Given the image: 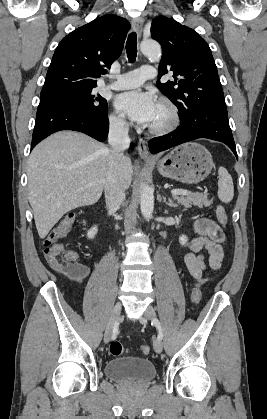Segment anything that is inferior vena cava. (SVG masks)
I'll list each match as a JSON object with an SVG mask.
<instances>
[{
  "instance_id": "602c4592",
  "label": "inferior vena cava",
  "mask_w": 267,
  "mask_h": 419,
  "mask_svg": "<svg viewBox=\"0 0 267 419\" xmlns=\"http://www.w3.org/2000/svg\"><path fill=\"white\" fill-rule=\"evenodd\" d=\"M128 130V124L124 120H114L110 123L108 142L111 149L107 158L108 170L104 191L106 206L111 212H116L125 200L127 182L121 171V162L124 150L130 145Z\"/></svg>"
}]
</instances>
